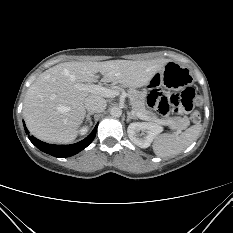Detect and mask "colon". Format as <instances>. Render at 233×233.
Returning <instances> with one entry per match:
<instances>
[{
  "mask_svg": "<svg viewBox=\"0 0 233 233\" xmlns=\"http://www.w3.org/2000/svg\"><path fill=\"white\" fill-rule=\"evenodd\" d=\"M200 94L193 88L188 87L181 94L152 90L148 96L147 104L162 116L181 111L190 113V119L196 123L200 120V114L194 111V105L200 102Z\"/></svg>",
  "mask_w": 233,
  "mask_h": 233,
  "instance_id": "obj_1",
  "label": "colon"
}]
</instances>
